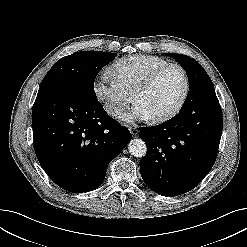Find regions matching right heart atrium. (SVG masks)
I'll list each match as a JSON object with an SVG mask.
<instances>
[{"label": "right heart atrium", "mask_w": 247, "mask_h": 247, "mask_svg": "<svg viewBox=\"0 0 247 247\" xmlns=\"http://www.w3.org/2000/svg\"><path fill=\"white\" fill-rule=\"evenodd\" d=\"M94 93L106 112L113 117H117L132 101L130 94L109 70L98 75Z\"/></svg>", "instance_id": "obj_1"}]
</instances>
